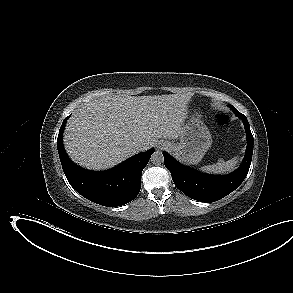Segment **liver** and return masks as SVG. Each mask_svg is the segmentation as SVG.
Here are the masks:
<instances>
[{"label":"liver","mask_w":293,"mask_h":293,"mask_svg":"<svg viewBox=\"0 0 293 293\" xmlns=\"http://www.w3.org/2000/svg\"><path fill=\"white\" fill-rule=\"evenodd\" d=\"M192 93L158 96H102L84 103L69 118L65 149L74 163L105 170L139 152L136 144L155 146L177 139Z\"/></svg>","instance_id":"obj_1"}]
</instances>
